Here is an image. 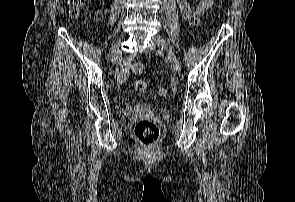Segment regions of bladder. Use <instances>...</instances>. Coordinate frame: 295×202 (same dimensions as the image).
I'll list each match as a JSON object with an SVG mask.
<instances>
[{
  "instance_id": "1",
  "label": "bladder",
  "mask_w": 295,
  "mask_h": 202,
  "mask_svg": "<svg viewBox=\"0 0 295 202\" xmlns=\"http://www.w3.org/2000/svg\"><path fill=\"white\" fill-rule=\"evenodd\" d=\"M135 110V107L132 105H129L125 108L126 113H132Z\"/></svg>"
}]
</instances>
